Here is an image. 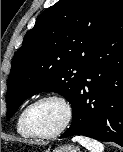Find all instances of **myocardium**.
<instances>
[{
    "mask_svg": "<svg viewBox=\"0 0 123 152\" xmlns=\"http://www.w3.org/2000/svg\"><path fill=\"white\" fill-rule=\"evenodd\" d=\"M46 100L58 101L65 109V119H64L62 125L56 131L47 133V134H40V133L35 132L31 128V126L29 124V115L34 106H36L40 102H43ZM72 118H73V108H72L70 101L61 94L48 93V94L38 97L25 108V111L23 114V125L31 137L38 138V139H52V138H55V137L61 135L63 132L66 131V129L69 127V125L72 121Z\"/></svg>",
    "mask_w": 123,
    "mask_h": 152,
    "instance_id": "1",
    "label": "myocardium"
}]
</instances>
